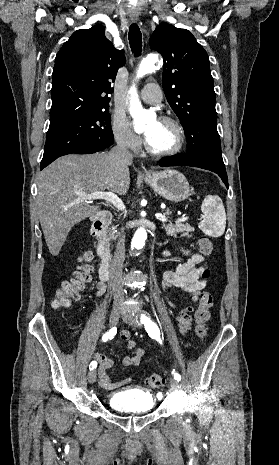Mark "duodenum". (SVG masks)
Returning a JSON list of instances; mask_svg holds the SVG:
<instances>
[{
  "instance_id": "1",
  "label": "duodenum",
  "mask_w": 279,
  "mask_h": 465,
  "mask_svg": "<svg viewBox=\"0 0 279 465\" xmlns=\"http://www.w3.org/2000/svg\"><path fill=\"white\" fill-rule=\"evenodd\" d=\"M111 221L112 214L109 211H104L93 219L91 226V234L96 241V252L101 259L99 277L103 282L107 281L109 278V260L111 252L105 239V231Z\"/></svg>"
}]
</instances>
